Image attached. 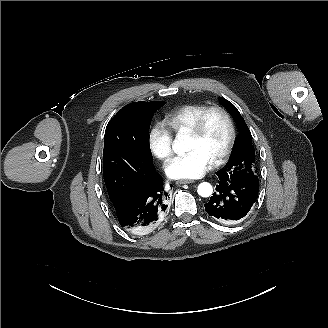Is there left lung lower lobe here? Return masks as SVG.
<instances>
[{
  "label": "left lung lower lobe",
  "mask_w": 328,
  "mask_h": 328,
  "mask_svg": "<svg viewBox=\"0 0 328 328\" xmlns=\"http://www.w3.org/2000/svg\"><path fill=\"white\" fill-rule=\"evenodd\" d=\"M217 176L220 180L217 192L204 204L206 212L220 223L242 219L257 200L259 180L224 176L219 172Z\"/></svg>",
  "instance_id": "obj_1"
}]
</instances>
